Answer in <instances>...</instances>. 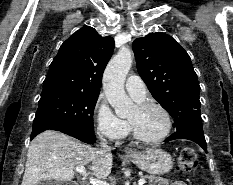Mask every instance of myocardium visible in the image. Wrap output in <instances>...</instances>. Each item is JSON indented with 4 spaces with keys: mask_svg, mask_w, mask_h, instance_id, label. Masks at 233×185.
<instances>
[{
    "mask_svg": "<svg viewBox=\"0 0 233 185\" xmlns=\"http://www.w3.org/2000/svg\"><path fill=\"white\" fill-rule=\"evenodd\" d=\"M137 107L139 109H146V108H151V107L157 108L164 114L166 118V122H167L166 129L160 136L156 138H146L138 132L134 123L129 120V125L132 131V135L137 141L145 143V144H158L162 142L163 140H165L171 134L172 129H173V118L165 106H163L162 104L156 101L146 100V101L139 102L137 104Z\"/></svg>",
    "mask_w": 233,
    "mask_h": 185,
    "instance_id": "1",
    "label": "myocardium"
}]
</instances>
